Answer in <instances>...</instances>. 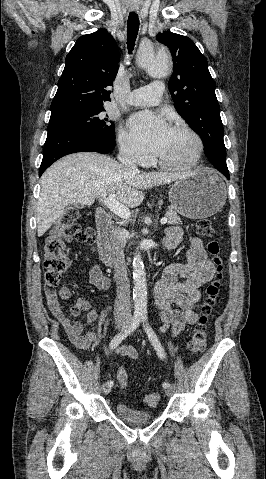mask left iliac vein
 Returning a JSON list of instances; mask_svg holds the SVG:
<instances>
[{"mask_svg": "<svg viewBox=\"0 0 266 479\" xmlns=\"http://www.w3.org/2000/svg\"><path fill=\"white\" fill-rule=\"evenodd\" d=\"M165 392H166L167 396H171L174 393V388L172 386H170V387L166 388Z\"/></svg>", "mask_w": 266, "mask_h": 479, "instance_id": "obj_1", "label": "left iliac vein"}]
</instances>
